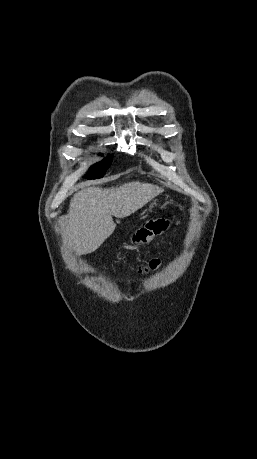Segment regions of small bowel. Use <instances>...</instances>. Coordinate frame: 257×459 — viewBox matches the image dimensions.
<instances>
[{"instance_id": "1", "label": "small bowel", "mask_w": 257, "mask_h": 459, "mask_svg": "<svg viewBox=\"0 0 257 459\" xmlns=\"http://www.w3.org/2000/svg\"><path fill=\"white\" fill-rule=\"evenodd\" d=\"M168 224V217H159L158 220L154 217H149L147 223L140 225V230H137L136 236L130 237V242L139 244L140 247H145L149 239H152V232L156 236H161L163 231L168 230Z\"/></svg>"}]
</instances>
